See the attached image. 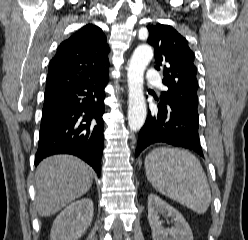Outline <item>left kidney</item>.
Wrapping results in <instances>:
<instances>
[{"label": "left kidney", "instance_id": "left-kidney-1", "mask_svg": "<svg viewBox=\"0 0 248 240\" xmlns=\"http://www.w3.org/2000/svg\"><path fill=\"white\" fill-rule=\"evenodd\" d=\"M160 214L171 217L174 227L164 228ZM148 220L153 240H193L191 228L181 213L155 194L148 196Z\"/></svg>", "mask_w": 248, "mask_h": 240}]
</instances>
